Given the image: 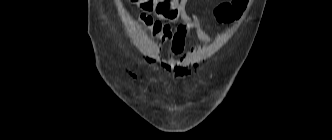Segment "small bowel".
Masks as SVG:
<instances>
[{
  "label": "small bowel",
  "instance_id": "small-bowel-1",
  "mask_svg": "<svg viewBox=\"0 0 332 140\" xmlns=\"http://www.w3.org/2000/svg\"><path fill=\"white\" fill-rule=\"evenodd\" d=\"M188 0H179L177 4V15L181 23L175 31L168 35L158 36L162 43H168V57L166 59H155V66L160 67L173 77H182L186 73V67L183 62V56L187 38L191 33H195L197 38L205 43H211V37L206 33L204 23L199 17L185 10ZM159 18L166 19V16L158 14Z\"/></svg>",
  "mask_w": 332,
  "mask_h": 140
}]
</instances>
